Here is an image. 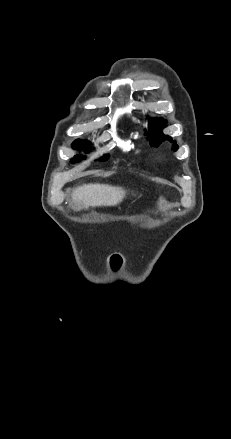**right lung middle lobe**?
Segmentation results:
<instances>
[{
  "label": "right lung middle lobe",
  "mask_w": 231,
  "mask_h": 439,
  "mask_svg": "<svg viewBox=\"0 0 231 439\" xmlns=\"http://www.w3.org/2000/svg\"><path fill=\"white\" fill-rule=\"evenodd\" d=\"M72 147L76 150H82V151H89V149H91V144L90 142H87L85 140H76L73 142ZM83 157L82 156H78L76 155L74 158H72V162H76V161H80L82 160ZM108 159V156H104L103 158H100L101 161H105Z\"/></svg>",
  "instance_id": "dd1d6c3e"
}]
</instances>
